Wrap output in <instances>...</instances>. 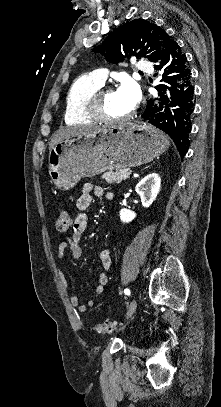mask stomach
<instances>
[{
	"label": "stomach",
	"mask_w": 221,
	"mask_h": 407,
	"mask_svg": "<svg viewBox=\"0 0 221 407\" xmlns=\"http://www.w3.org/2000/svg\"><path fill=\"white\" fill-rule=\"evenodd\" d=\"M169 145L166 135L146 123L110 126L57 143L49 152V175L56 188L69 190L83 177L149 163Z\"/></svg>",
	"instance_id": "0dacf381"
}]
</instances>
